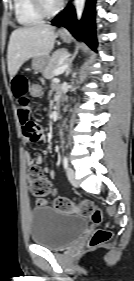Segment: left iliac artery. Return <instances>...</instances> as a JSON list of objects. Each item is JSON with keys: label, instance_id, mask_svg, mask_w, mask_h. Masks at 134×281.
Masks as SVG:
<instances>
[{"label": "left iliac artery", "instance_id": "44dca946", "mask_svg": "<svg viewBox=\"0 0 134 281\" xmlns=\"http://www.w3.org/2000/svg\"><path fill=\"white\" fill-rule=\"evenodd\" d=\"M63 166L65 169L68 167V158L66 156L63 157Z\"/></svg>", "mask_w": 134, "mask_h": 281}]
</instances>
